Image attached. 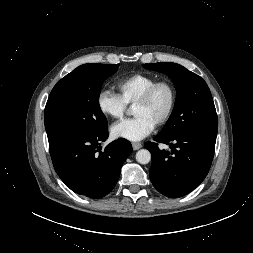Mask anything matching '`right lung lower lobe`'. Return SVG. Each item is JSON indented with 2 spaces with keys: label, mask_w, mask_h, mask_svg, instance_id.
Returning <instances> with one entry per match:
<instances>
[{
  "label": "right lung lower lobe",
  "mask_w": 253,
  "mask_h": 253,
  "mask_svg": "<svg viewBox=\"0 0 253 253\" xmlns=\"http://www.w3.org/2000/svg\"><path fill=\"white\" fill-rule=\"evenodd\" d=\"M107 138L105 127L95 133L65 135L49 141L55 171L73 192L99 199L116 185L132 146L119 138L101 151L100 142Z\"/></svg>",
  "instance_id": "1"
}]
</instances>
